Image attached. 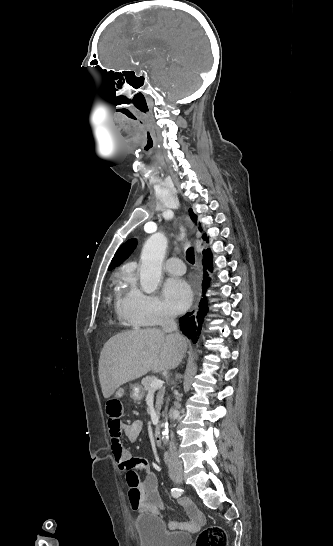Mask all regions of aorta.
I'll return each instance as SVG.
<instances>
[{"label":"aorta","instance_id":"1","mask_svg":"<svg viewBox=\"0 0 333 546\" xmlns=\"http://www.w3.org/2000/svg\"><path fill=\"white\" fill-rule=\"evenodd\" d=\"M167 248V239L161 232L155 233L146 241L141 253L140 284L146 293L154 292L161 279L162 263ZM162 439L168 443V424H163Z\"/></svg>","mask_w":333,"mask_h":546}]
</instances>
